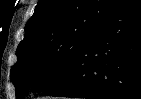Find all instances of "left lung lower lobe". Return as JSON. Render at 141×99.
<instances>
[{"instance_id": "obj_1", "label": "left lung lower lobe", "mask_w": 141, "mask_h": 99, "mask_svg": "<svg viewBox=\"0 0 141 99\" xmlns=\"http://www.w3.org/2000/svg\"><path fill=\"white\" fill-rule=\"evenodd\" d=\"M42 95L141 99V0H120L67 74Z\"/></svg>"}]
</instances>
